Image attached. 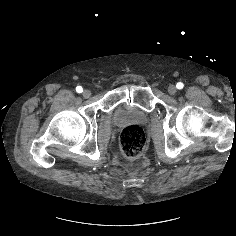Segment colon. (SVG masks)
Listing matches in <instances>:
<instances>
[{
	"mask_svg": "<svg viewBox=\"0 0 236 236\" xmlns=\"http://www.w3.org/2000/svg\"><path fill=\"white\" fill-rule=\"evenodd\" d=\"M120 148L125 157L135 159L146 147V137L143 129L138 125L124 128L120 135Z\"/></svg>",
	"mask_w": 236,
	"mask_h": 236,
	"instance_id": "5ec220e1",
	"label": "colon"
}]
</instances>
